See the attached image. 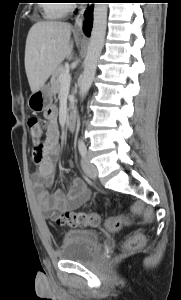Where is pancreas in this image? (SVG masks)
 <instances>
[{
    "label": "pancreas",
    "mask_w": 181,
    "mask_h": 300,
    "mask_svg": "<svg viewBox=\"0 0 181 300\" xmlns=\"http://www.w3.org/2000/svg\"><path fill=\"white\" fill-rule=\"evenodd\" d=\"M63 73H66V69H65L64 65H62V64L58 65L57 68L55 69V71L52 73L51 87H52L54 94L59 93V91L61 89L62 84L59 80V77Z\"/></svg>",
    "instance_id": "cf45deb5"
}]
</instances>
